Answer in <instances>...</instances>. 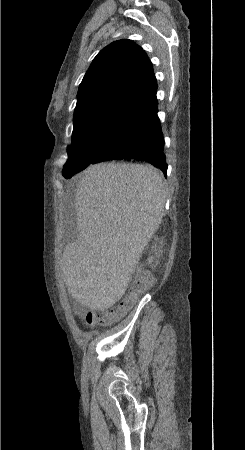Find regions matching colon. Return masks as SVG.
<instances>
[{"instance_id":"1","label":"colon","mask_w":245,"mask_h":450,"mask_svg":"<svg viewBox=\"0 0 245 450\" xmlns=\"http://www.w3.org/2000/svg\"><path fill=\"white\" fill-rule=\"evenodd\" d=\"M147 288V279L140 271H136L128 282L126 295L117 306L108 310L95 311L88 323L107 324L119 319L126 310L132 307L137 297Z\"/></svg>"}]
</instances>
